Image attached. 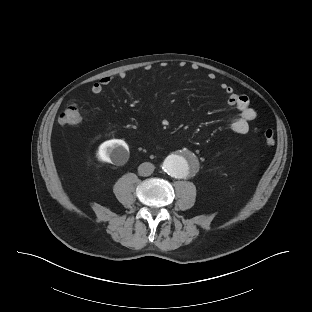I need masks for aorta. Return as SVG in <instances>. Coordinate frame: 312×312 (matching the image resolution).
I'll use <instances>...</instances> for the list:
<instances>
[{"mask_svg": "<svg viewBox=\"0 0 312 312\" xmlns=\"http://www.w3.org/2000/svg\"><path fill=\"white\" fill-rule=\"evenodd\" d=\"M194 160L191 155H170L164 160L162 169L171 177L182 178L187 174Z\"/></svg>", "mask_w": 312, "mask_h": 312, "instance_id": "obj_1", "label": "aorta"}]
</instances>
